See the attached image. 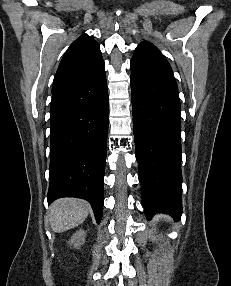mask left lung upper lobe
Wrapping results in <instances>:
<instances>
[{
    "mask_svg": "<svg viewBox=\"0 0 231 286\" xmlns=\"http://www.w3.org/2000/svg\"><path fill=\"white\" fill-rule=\"evenodd\" d=\"M132 60L172 72L171 66L164 55L156 46L148 41L142 42L138 45L135 49Z\"/></svg>",
    "mask_w": 231,
    "mask_h": 286,
    "instance_id": "obj_1",
    "label": "left lung upper lobe"
}]
</instances>
